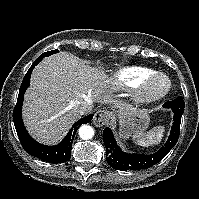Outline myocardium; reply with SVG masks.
<instances>
[{
	"mask_svg": "<svg viewBox=\"0 0 199 199\" xmlns=\"http://www.w3.org/2000/svg\"><path fill=\"white\" fill-rule=\"evenodd\" d=\"M164 82V87L158 88V82ZM172 89L170 78L160 72H156L148 77L137 90V99L140 102L152 103L161 100L169 94Z\"/></svg>",
	"mask_w": 199,
	"mask_h": 199,
	"instance_id": "1",
	"label": "myocardium"
}]
</instances>
